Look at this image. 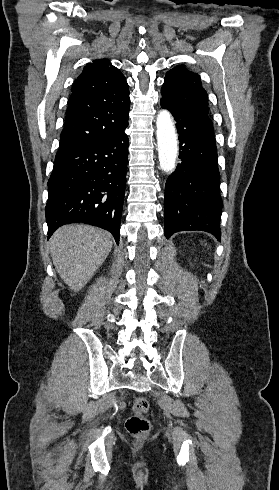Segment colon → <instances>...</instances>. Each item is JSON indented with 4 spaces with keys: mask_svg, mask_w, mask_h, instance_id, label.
<instances>
[{
    "mask_svg": "<svg viewBox=\"0 0 279 490\" xmlns=\"http://www.w3.org/2000/svg\"><path fill=\"white\" fill-rule=\"evenodd\" d=\"M149 409V402L143 396L133 399L132 413L126 419V429L133 436L134 442H147L150 428L149 420L145 416Z\"/></svg>",
    "mask_w": 279,
    "mask_h": 490,
    "instance_id": "obj_1",
    "label": "colon"
}]
</instances>
